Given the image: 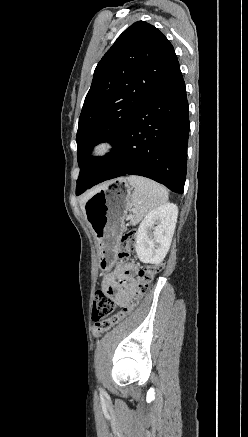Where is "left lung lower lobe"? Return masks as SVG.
I'll list each match as a JSON object with an SVG mask.
<instances>
[{
	"label": "left lung lower lobe",
	"mask_w": 248,
	"mask_h": 437,
	"mask_svg": "<svg viewBox=\"0 0 248 437\" xmlns=\"http://www.w3.org/2000/svg\"><path fill=\"white\" fill-rule=\"evenodd\" d=\"M188 135L185 82L176 61L132 115L117 149L91 186L131 174L183 193Z\"/></svg>",
	"instance_id": "obj_1"
}]
</instances>
